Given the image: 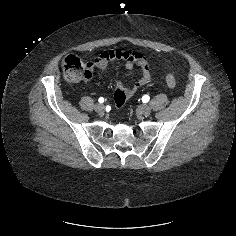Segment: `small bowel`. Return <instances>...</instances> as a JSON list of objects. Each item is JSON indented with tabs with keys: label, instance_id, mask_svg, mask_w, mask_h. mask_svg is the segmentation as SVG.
I'll return each mask as SVG.
<instances>
[{
	"label": "small bowel",
	"instance_id": "1",
	"mask_svg": "<svg viewBox=\"0 0 236 236\" xmlns=\"http://www.w3.org/2000/svg\"><path fill=\"white\" fill-rule=\"evenodd\" d=\"M116 60L124 61L126 69L138 67L141 71L140 76L130 86H125L121 81H116L114 101L116 106L120 108L121 106H119L115 100L116 92L121 91L124 94L126 100L133 96L140 87L144 86L149 82L150 67L148 59L143 53L120 49L105 50L101 52L96 58L89 61L87 65L92 72L94 70L105 69L109 62Z\"/></svg>",
	"mask_w": 236,
	"mask_h": 236
}]
</instances>
